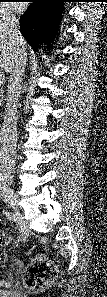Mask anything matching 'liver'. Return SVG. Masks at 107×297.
<instances>
[{"instance_id":"1","label":"liver","mask_w":107,"mask_h":297,"mask_svg":"<svg viewBox=\"0 0 107 297\" xmlns=\"http://www.w3.org/2000/svg\"><path fill=\"white\" fill-rule=\"evenodd\" d=\"M25 43V50L27 49V44ZM16 57V46L12 43L8 36L0 33V68L8 73H10L15 65Z\"/></svg>"}]
</instances>
